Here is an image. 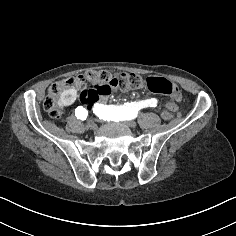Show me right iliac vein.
Masks as SVG:
<instances>
[{
  "instance_id": "obj_1",
  "label": "right iliac vein",
  "mask_w": 236,
  "mask_h": 236,
  "mask_svg": "<svg viewBox=\"0 0 236 236\" xmlns=\"http://www.w3.org/2000/svg\"><path fill=\"white\" fill-rule=\"evenodd\" d=\"M87 125L92 131H95L98 128V125L94 121H92V119L87 120Z\"/></svg>"
}]
</instances>
